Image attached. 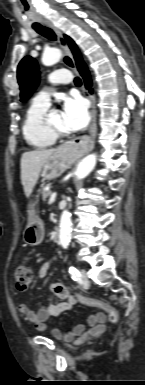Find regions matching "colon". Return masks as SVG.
<instances>
[{
	"instance_id": "1",
	"label": "colon",
	"mask_w": 145,
	"mask_h": 385,
	"mask_svg": "<svg viewBox=\"0 0 145 385\" xmlns=\"http://www.w3.org/2000/svg\"><path fill=\"white\" fill-rule=\"evenodd\" d=\"M31 279L32 273L28 267L24 265H19L15 268L14 281L15 286L18 290H26L31 282ZM55 291L61 295L65 294L63 288L60 285L56 286ZM80 299L81 303L86 306L96 307L105 311L108 315L110 322H112L113 324H116L119 321V313L117 309L112 305L108 304L107 302L97 299L84 298L81 296Z\"/></svg>"
}]
</instances>
